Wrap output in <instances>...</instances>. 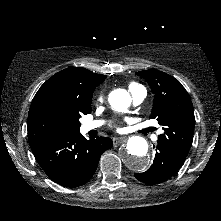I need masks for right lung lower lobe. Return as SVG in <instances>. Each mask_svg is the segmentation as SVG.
Listing matches in <instances>:
<instances>
[{
	"label": "right lung lower lobe",
	"mask_w": 221,
	"mask_h": 221,
	"mask_svg": "<svg viewBox=\"0 0 221 221\" xmlns=\"http://www.w3.org/2000/svg\"><path fill=\"white\" fill-rule=\"evenodd\" d=\"M45 173L59 185L78 187L95 173L101 154L113 146L107 137L87 140L79 131L30 143Z\"/></svg>",
	"instance_id": "98d812e1"
}]
</instances>
